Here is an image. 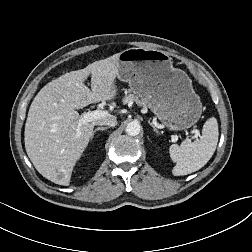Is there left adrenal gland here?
<instances>
[{"label": "left adrenal gland", "mask_w": 252, "mask_h": 252, "mask_svg": "<svg viewBox=\"0 0 252 252\" xmlns=\"http://www.w3.org/2000/svg\"><path fill=\"white\" fill-rule=\"evenodd\" d=\"M148 123L152 126L153 131L156 132L157 134H159V132H158V130L155 128V126H154L150 121H148Z\"/></svg>", "instance_id": "a2214340"}]
</instances>
